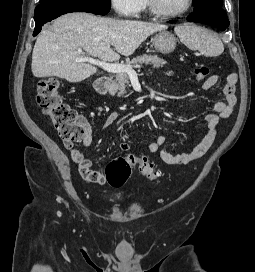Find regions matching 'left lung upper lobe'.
<instances>
[{"instance_id": "left-lung-upper-lobe-1", "label": "left lung upper lobe", "mask_w": 255, "mask_h": 272, "mask_svg": "<svg viewBox=\"0 0 255 272\" xmlns=\"http://www.w3.org/2000/svg\"><path fill=\"white\" fill-rule=\"evenodd\" d=\"M195 4V10L209 4L222 6V0H192Z\"/></svg>"}]
</instances>
